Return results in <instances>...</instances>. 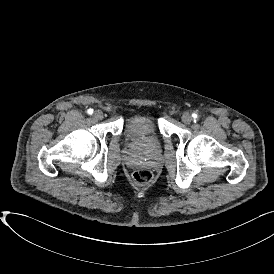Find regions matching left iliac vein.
<instances>
[{"mask_svg": "<svg viewBox=\"0 0 274 274\" xmlns=\"http://www.w3.org/2000/svg\"><path fill=\"white\" fill-rule=\"evenodd\" d=\"M182 121H183V123H185V124H190L191 121H192V116H191L188 112H185V113L182 115Z\"/></svg>", "mask_w": 274, "mask_h": 274, "instance_id": "left-iliac-vein-1", "label": "left iliac vein"}]
</instances>
